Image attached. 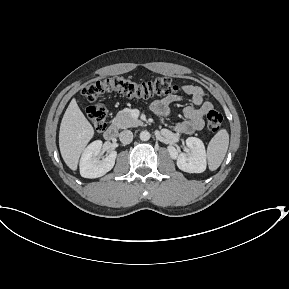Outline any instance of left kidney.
Returning a JSON list of instances; mask_svg holds the SVG:
<instances>
[{
    "mask_svg": "<svg viewBox=\"0 0 289 289\" xmlns=\"http://www.w3.org/2000/svg\"><path fill=\"white\" fill-rule=\"evenodd\" d=\"M186 145L187 153H179L174 147L168 146V152L172 159L177 161L180 170L188 173H202L206 170V150L204 143L196 137H188Z\"/></svg>",
    "mask_w": 289,
    "mask_h": 289,
    "instance_id": "obj_1",
    "label": "left kidney"
}]
</instances>
